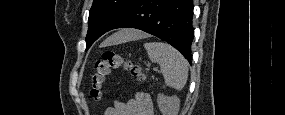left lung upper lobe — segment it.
Wrapping results in <instances>:
<instances>
[{
	"label": "left lung upper lobe",
	"instance_id": "left-lung-upper-lobe-1",
	"mask_svg": "<svg viewBox=\"0 0 285 115\" xmlns=\"http://www.w3.org/2000/svg\"><path fill=\"white\" fill-rule=\"evenodd\" d=\"M134 0H94L89 12L86 50L100 36L109 31L115 20Z\"/></svg>",
	"mask_w": 285,
	"mask_h": 115
}]
</instances>
